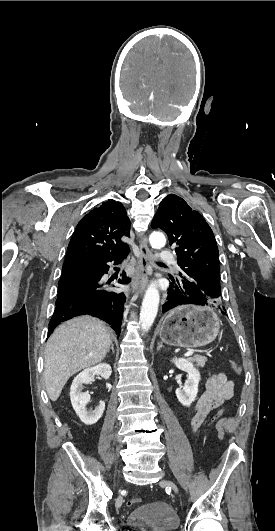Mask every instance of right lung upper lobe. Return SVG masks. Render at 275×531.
I'll return each mask as SVG.
<instances>
[{
	"instance_id": "right-lung-upper-lobe-1",
	"label": "right lung upper lobe",
	"mask_w": 275,
	"mask_h": 531,
	"mask_svg": "<svg viewBox=\"0 0 275 531\" xmlns=\"http://www.w3.org/2000/svg\"><path fill=\"white\" fill-rule=\"evenodd\" d=\"M130 237V220L123 205L113 199L85 215L69 242L65 262L98 258L128 248L121 241Z\"/></svg>"
}]
</instances>
